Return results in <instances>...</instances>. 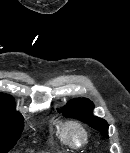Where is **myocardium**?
I'll return each mask as SVG.
<instances>
[{"mask_svg": "<svg viewBox=\"0 0 130 153\" xmlns=\"http://www.w3.org/2000/svg\"><path fill=\"white\" fill-rule=\"evenodd\" d=\"M73 130H76L81 135V140L79 142H75L72 139L71 133ZM63 132L68 144L73 148L82 147L88 140V131L85 126L78 120L72 119L68 120L63 124Z\"/></svg>", "mask_w": 130, "mask_h": 153, "instance_id": "myocardium-1", "label": "myocardium"}]
</instances>
